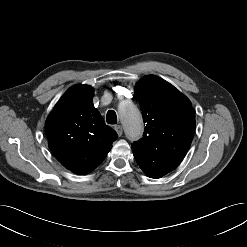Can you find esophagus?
I'll return each instance as SVG.
<instances>
[{"instance_id":"1","label":"esophagus","mask_w":247,"mask_h":247,"mask_svg":"<svg viewBox=\"0 0 247 247\" xmlns=\"http://www.w3.org/2000/svg\"><path fill=\"white\" fill-rule=\"evenodd\" d=\"M115 131L117 132L118 136L120 137L123 133V128L121 125H115L114 126Z\"/></svg>"}]
</instances>
